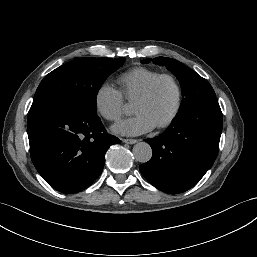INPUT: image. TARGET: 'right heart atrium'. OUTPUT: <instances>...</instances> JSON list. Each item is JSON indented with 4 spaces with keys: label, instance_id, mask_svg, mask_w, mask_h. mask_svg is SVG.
<instances>
[{
    "label": "right heart atrium",
    "instance_id": "obj_1",
    "mask_svg": "<svg viewBox=\"0 0 257 257\" xmlns=\"http://www.w3.org/2000/svg\"><path fill=\"white\" fill-rule=\"evenodd\" d=\"M97 112L108 121H117L125 109V100L121 92L108 83L98 87L94 96Z\"/></svg>",
    "mask_w": 257,
    "mask_h": 257
}]
</instances>
